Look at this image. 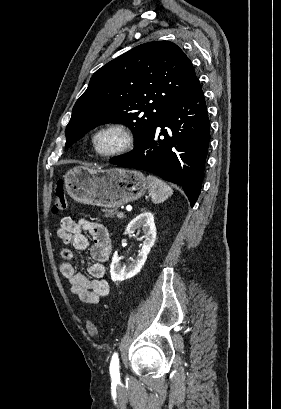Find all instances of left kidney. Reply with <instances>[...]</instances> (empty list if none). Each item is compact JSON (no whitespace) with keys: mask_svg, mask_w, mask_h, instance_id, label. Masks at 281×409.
<instances>
[{"mask_svg":"<svg viewBox=\"0 0 281 409\" xmlns=\"http://www.w3.org/2000/svg\"><path fill=\"white\" fill-rule=\"evenodd\" d=\"M136 229H142L144 241H142L141 253L136 257L133 263L130 265H122L121 259L118 257V251H115L112 257V263L110 265V275L112 281H126L135 277L139 271H141L151 247H153L156 241V227L154 223V217L150 211H142L140 215H137L135 219L130 221L125 229L124 235H132Z\"/></svg>","mask_w":281,"mask_h":409,"instance_id":"1","label":"left kidney"}]
</instances>
